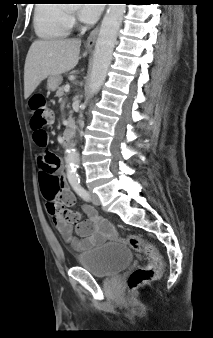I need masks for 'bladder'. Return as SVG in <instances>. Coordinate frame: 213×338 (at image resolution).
Returning <instances> with one entry per match:
<instances>
[{
  "mask_svg": "<svg viewBox=\"0 0 213 338\" xmlns=\"http://www.w3.org/2000/svg\"><path fill=\"white\" fill-rule=\"evenodd\" d=\"M77 264L94 277L109 278L123 271L133 259L131 249L119 242L103 244L75 257Z\"/></svg>",
  "mask_w": 213,
  "mask_h": 338,
  "instance_id": "1",
  "label": "bladder"
}]
</instances>
